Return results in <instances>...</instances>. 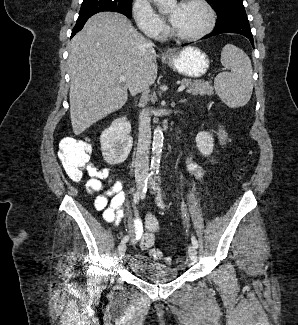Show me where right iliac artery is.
<instances>
[{"instance_id": "right-iliac-artery-1", "label": "right iliac artery", "mask_w": 298, "mask_h": 325, "mask_svg": "<svg viewBox=\"0 0 298 325\" xmlns=\"http://www.w3.org/2000/svg\"><path fill=\"white\" fill-rule=\"evenodd\" d=\"M152 175H153V172L150 173V174L147 176V178L145 179V181H144V185H143V188H142V193L147 191V186H148V184L150 183V181H151V179H152ZM139 197H140L139 192H136V193L134 194V203H135V204L139 202ZM128 240H129V236H125V237L122 239L121 242L126 243Z\"/></svg>"}]
</instances>
